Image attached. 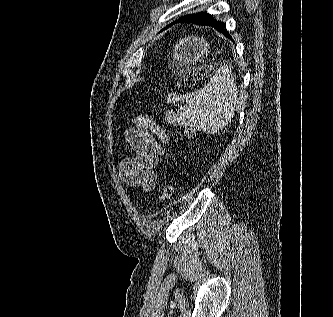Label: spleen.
<instances>
[{"label": "spleen", "instance_id": "spleen-1", "mask_svg": "<svg viewBox=\"0 0 333 317\" xmlns=\"http://www.w3.org/2000/svg\"><path fill=\"white\" fill-rule=\"evenodd\" d=\"M166 100L168 103L183 101L187 104L184 111L165 112V120L169 123L189 127L193 132L202 130L214 134L232 120L238 91L231 69L223 64L199 90L185 95L170 93Z\"/></svg>", "mask_w": 333, "mask_h": 317}]
</instances>
